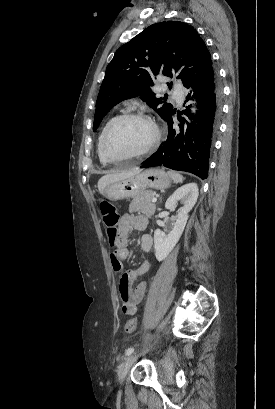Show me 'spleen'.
Segmentation results:
<instances>
[{
	"mask_svg": "<svg viewBox=\"0 0 275 409\" xmlns=\"http://www.w3.org/2000/svg\"><path fill=\"white\" fill-rule=\"evenodd\" d=\"M168 174H170L174 182H183V176L182 174H179V172H173V170H168Z\"/></svg>",
	"mask_w": 275,
	"mask_h": 409,
	"instance_id": "1",
	"label": "spleen"
}]
</instances>
